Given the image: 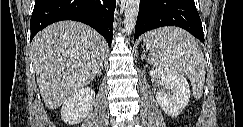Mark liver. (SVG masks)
I'll return each instance as SVG.
<instances>
[{
    "mask_svg": "<svg viewBox=\"0 0 243 127\" xmlns=\"http://www.w3.org/2000/svg\"><path fill=\"white\" fill-rule=\"evenodd\" d=\"M105 41L75 21L54 23L32 41L33 65L45 105L54 110L88 85L103 64Z\"/></svg>",
    "mask_w": 243,
    "mask_h": 127,
    "instance_id": "6515ba94",
    "label": "liver"
}]
</instances>
